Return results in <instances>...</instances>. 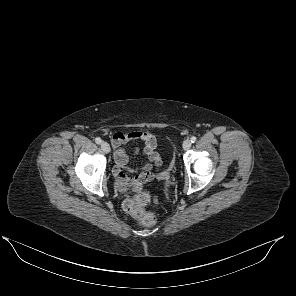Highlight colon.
Returning a JSON list of instances; mask_svg holds the SVG:
<instances>
[{"mask_svg": "<svg viewBox=\"0 0 296 296\" xmlns=\"http://www.w3.org/2000/svg\"><path fill=\"white\" fill-rule=\"evenodd\" d=\"M151 201L148 193L142 192L128 199L124 203V209L145 225L151 226L156 222V217L153 213L145 210V206Z\"/></svg>", "mask_w": 296, "mask_h": 296, "instance_id": "colon-1", "label": "colon"}]
</instances>
